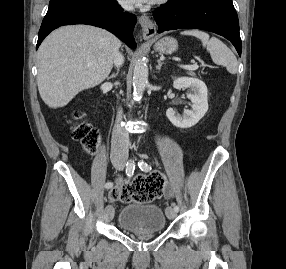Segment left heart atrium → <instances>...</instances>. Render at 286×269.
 Instances as JSON below:
<instances>
[{
    "instance_id": "left-heart-atrium-1",
    "label": "left heart atrium",
    "mask_w": 286,
    "mask_h": 269,
    "mask_svg": "<svg viewBox=\"0 0 286 269\" xmlns=\"http://www.w3.org/2000/svg\"><path fill=\"white\" fill-rule=\"evenodd\" d=\"M123 2L127 4H134V5H149L157 0H122Z\"/></svg>"
}]
</instances>
